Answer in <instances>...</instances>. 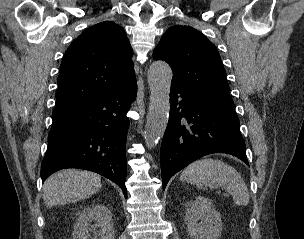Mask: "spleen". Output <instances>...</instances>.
Wrapping results in <instances>:
<instances>
[{"mask_svg": "<svg viewBox=\"0 0 304 239\" xmlns=\"http://www.w3.org/2000/svg\"><path fill=\"white\" fill-rule=\"evenodd\" d=\"M180 180L212 189L222 187L233 196L237 206H246L250 199L248 188L239 172L220 160H197L183 170Z\"/></svg>", "mask_w": 304, "mask_h": 239, "instance_id": "1", "label": "spleen"}]
</instances>
